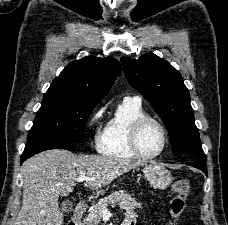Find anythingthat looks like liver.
<instances>
[{"label": "liver", "instance_id": "6515ba94", "mask_svg": "<svg viewBox=\"0 0 228 225\" xmlns=\"http://www.w3.org/2000/svg\"><path fill=\"white\" fill-rule=\"evenodd\" d=\"M140 165L117 157L73 155L65 149L34 155L22 165L23 201L16 225H63L59 195L72 193L78 177L93 179L84 187L97 191Z\"/></svg>", "mask_w": 228, "mask_h": 225}]
</instances>
